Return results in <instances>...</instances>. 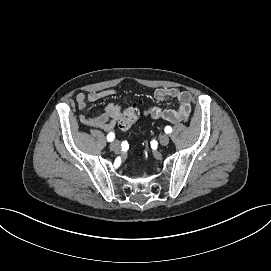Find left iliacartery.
<instances>
[{"instance_id": "1", "label": "left iliac artery", "mask_w": 271, "mask_h": 271, "mask_svg": "<svg viewBox=\"0 0 271 271\" xmlns=\"http://www.w3.org/2000/svg\"><path fill=\"white\" fill-rule=\"evenodd\" d=\"M165 132L168 134V133H171L172 132V128L170 126H166L165 127Z\"/></svg>"}]
</instances>
